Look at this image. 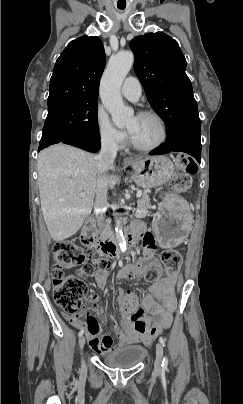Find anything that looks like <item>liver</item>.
<instances>
[{
    "label": "liver",
    "instance_id": "6515ba94",
    "mask_svg": "<svg viewBox=\"0 0 243 404\" xmlns=\"http://www.w3.org/2000/svg\"><path fill=\"white\" fill-rule=\"evenodd\" d=\"M97 170V156L72 146L56 144L40 152L37 172L41 210L54 242L74 236L90 216L98 188ZM117 180V176H111L108 188L113 190Z\"/></svg>",
    "mask_w": 243,
    "mask_h": 404
}]
</instances>
